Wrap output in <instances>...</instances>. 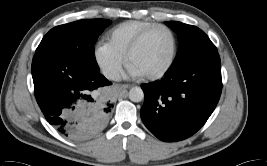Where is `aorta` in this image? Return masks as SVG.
<instances>
[{"mask_svg":"<svg viewBox=\"0 0 267 166\" xmlns=\"http://www.w3.org/2000/svg\"><path fill=\"white\" fill-rule=\"evenodd\" d=\"M129 98L133 102H140L144 98V92L140 87H133L129 91Z\"/></svg>","mask_w":267,"mask_h":166,"instance_id":"obj_1","label":"aorta"}]
</instances>
